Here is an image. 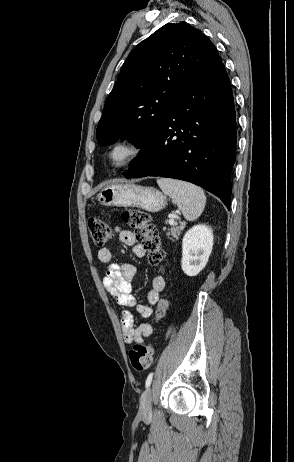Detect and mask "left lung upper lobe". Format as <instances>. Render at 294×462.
Instances as JSON below:
<instances>
[{
	"label": "left lung upper lobe",
	"mask_w": 294,
	"mask_h": 462,
	"mask_svg": "<svg viewBox=\"0 0 294 462\" xmlns=\"http://www.w3.org/2000/svg\"><path fill=\"white\" fill-rule=\"evenodd\" d=\"M215 46L186 22L169 23L137 45L109 94L96 136L101 145L152 141L180 94L221 61Z\"/></svg>",
	"instance_id": "1"
}]
</instances>
